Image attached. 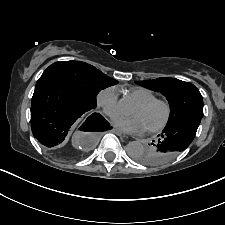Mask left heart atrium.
Listing matches in <instances>:
<instances>
[{
	"label": "left heart atrium",
	"mask_w": 225,
	"mask_h": 225,
	"mask_svg": "<svg viewBox=\"0 0 225 225\" xmlns=\"http://www.w3.org/2000/svg\"><path fill=\"white\" fill-rule=\"evenodd\" d=\"M114 123L122 130L130 133H142L148 128L140 116L126 117L119 115L114 118Z\"/></svg>",
	"instance_id": "left-heart-atrium-1"
}]
</instances>
